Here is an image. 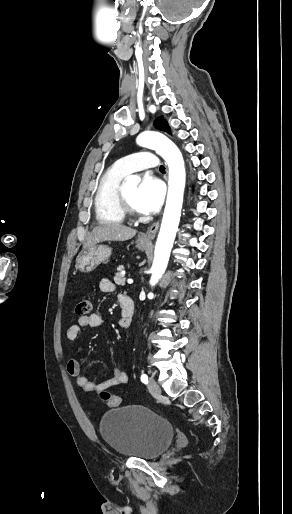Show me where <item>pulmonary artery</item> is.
Returning <instances> with one entry per match:
<instances>
[{
  "label": "pulmonary artery",
  "mask_w": 292,
  "mask_h": 514,
  "mask_svg": "<svg viewBox=\"0 0 292 514\" xmlns=\"http://www.w3.org/2000/svg\"><path fill=\"white\" fill-rule=\"evenodd\" d=\"M130 158L121 156L118 161L113 163V170L124 176L132 172H154L159 169L158 159L149 151H131Z\"/></svg>",
  "instance_id": "obj_1"
}]
</instances>
